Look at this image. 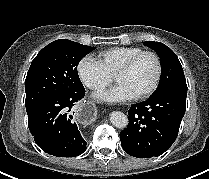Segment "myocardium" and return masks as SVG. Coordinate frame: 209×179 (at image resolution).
Here are the masks:
<instances>
[{
    "mask_svg": "<svg viewBox=\"0 0 209 179\" xmlns=\"http://www.w3.org/2000/svg\"><path fill=\"white\" fill-rule=\"evenodd\" d=\"M144 56H151L156 63V75L155 78L152 82V84L150 85V87L148 89H146L145 91L141 92L140 94L135 95L133 98L140 100V99H145L147 97H149L150 95H152L161 80L162 77V61L160 56L154 52V51H149V50H143L139 53H137L136 55L132 56L130 59H128L113 75L114 80L121 74H124L126 72H128L130 69H132V67Z\"/></svg>",
    "mask_w": 209,
    "mask_h": 179,
    "instance_id": "1",
    "label": "myocardium"
}]
</instances>
